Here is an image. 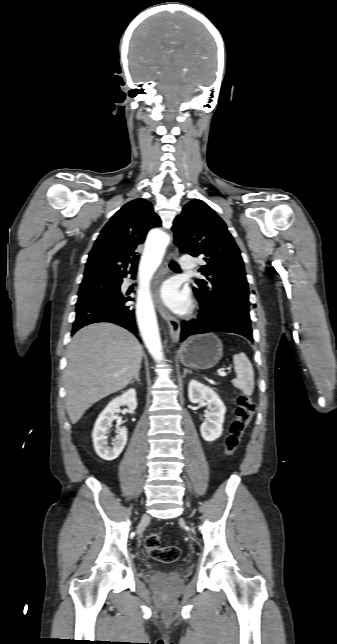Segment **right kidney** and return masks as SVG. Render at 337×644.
<instances>
[{"label": "right kidney", "instance_id": "ca27d5eb", "mask_svg": "<svg viewBox=\"0 0 337 644\" xmlns=\"http://www.w3.org/2000/svg\"><path fill=\"white\" fill-rule=\"evenodd\" d=\"M120 405H126L130 410L137 408L135 389H129L121 396L113 399L96 420L92 433L94 449L100 458L107 461L116 459L127 443V429L122 427L117 430L116 438L112 441V447L107 445V432Z\"/></svg>", "mask_w": 337, "mask_h": 644}]
</instances>
